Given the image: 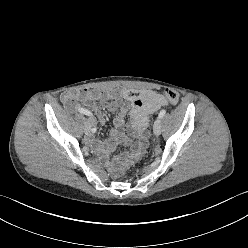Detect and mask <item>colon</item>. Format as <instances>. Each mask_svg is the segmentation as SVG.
Wrapping results in <instances>:
<instances>
[{"instance_id":"colon-1","label":"colon","mask_w":248,"mask_h":248,"mask_svg":"<svg viewBox=\"0 0 248 248\" xmlns=\"http://www.w3.org/2000/svg\"><path fill=\"white\" fill-rule=\"evenodd\" d=\"M163 98L172 105H177L179 102V95L177 92L173 90H169V89L165 90L163 92ZM134 172L138 174L140 172V168L136 167L134 169Z\"/></svg>"}]
</instances>
